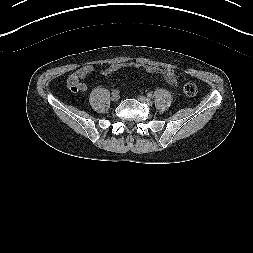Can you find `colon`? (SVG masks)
<instances>
[{
	"label": "colon",
	"instance_id": "1",
	"mask_svg": "<svg viewBox=\"0 0 253 253\" xmlns=\"http://www.w3.org/2000/svg\"><path fill=\"white\" fill-rule=\"evenodd\" d=\"M82 78L84 77H82L78 72L71 75L68 80V88L73 92H77L79 90V83ZM197 90V85L191 81L187 82L183 87V91L187 96L196 95Z\"/></svg>",
	"mask_w": 253,
	"mask_h": 253
}]
</instances>
